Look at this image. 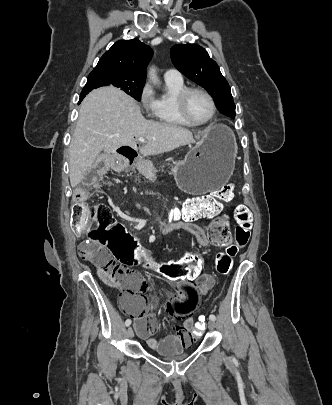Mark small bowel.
Here are the masks:
<instances>
[{"label":"small bowel","mask_w":332,"mask_h":405,"mask_svg":"<svg viewBox=\"0 0 332 405\" xmlns=\"http://www.w3.org/2000/svg\"><path fill=\"white\" fill-rule=\"evenodd\" d=\"M136 167L141 172H147L153 168V164L149 160L140 158L136 163ZM102 179V172H83L81 184L82 186H99ZM190 214L192 220L186 223L185 229L192 233L199 243V240H202L203 229L193 224V222L200 218V215L193 212H190ZM210 217L217 220L214 213H210ZM226 220L228 227H230L227 218ZM136 223L140 225L142 222L137 221ZM120 277L121 289L126 291L120 301V306L128 315L134 318L135 330L139 337L144 339L153 350H163L164 353H187L188 346L192 343L190 334L194 320L191 314L197 311L198 306L201 305V298L197 297V294L206 295L213 288L215 278L211 274L203 273L199 281L178 282V289L168 291V296L173 299L171 302H163L162 310L170 311L182 318L183 322L181 325H176L173 335L158 340L152 337L159 327L156 319L158 307L155 304L148 305V296L146 295L147 292L152 291V287L140 274L129 269H122Z\"/></svg>","instance_id":"obj_1"}]
</instances>
